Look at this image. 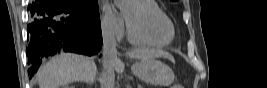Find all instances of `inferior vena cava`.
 <instances>
[{"label": "inferior vena cava", "mask_w": 267, "mask_h": 88, "mask_svg": "<svg viewBox=\"0 0 267 88\" xmlns=\"http://www.w3.org/2000/svg\"><path fill=\"white\" fill-rule=\"evenodd\" d=\"M103 38V71L101 74L102 88H113L115 82L114 62L117 60L116 40L114 27L102 25Z\"/></svg>", "instance_id": "602c4592"}]
</instances>
